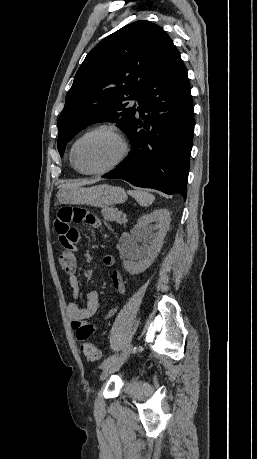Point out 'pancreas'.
<instances>
[{
	"mask_svg": "<svg viewBox=\"0 0 257 459\" xmlns=\"http://www.w3.org/2000/svg\"><path fill=\"white\" fill-rule=\"evenodd\" d=\"M102 214L104 219L107 221H116L119 224L123 223V219L121 218L122 212L119 211L117 208H104L102 210Z\"/></svg>",
	"mask_w": 257,
	"mask_h": 459,
	"instance_id": "obj_1",
	"label": "pancreas"
}]
</instances>
